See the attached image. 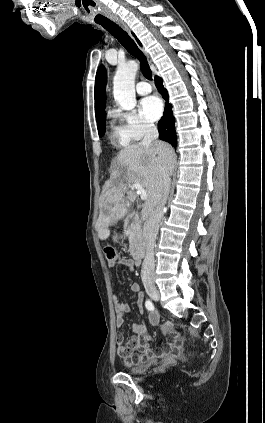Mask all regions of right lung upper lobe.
Segmentation results:
<instances>
[{
	"label": "right lung upper lobe",
	"mask_w": 265,
	"mask_h": 423,
	"mask_svg": "<svg viewBox=\"0 0 265 423\" xmlns=\"http://www.w3.org/2000/svg\"><path fill=\"white\" fill-rule=\"evenodd\" d=\"M138 43L141 45L139 41ZM105 84H106V70L104 66L101 65L96 73L95 89H94L95 114H96L97 122L103 116H105V104H106Z\"/></svg>",
	"instance_id": "cb5924a9"
}]
</instances>
